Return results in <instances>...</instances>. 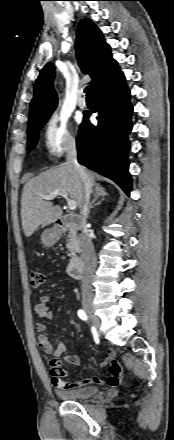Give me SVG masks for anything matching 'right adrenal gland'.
Segmentation results:
<instances>
[{
  "mask_svg": "<svg viewBox=\"0 0 174 440\" xmlns=\"http://www.w3.org/2000/svg\"><path fill=\"white\" fill-rule=\"evenodd\" d=\"M108 193L106 192L105 188L100 185V184H96L95 185V192H94V199L92 200L91 204H90V209H93L96 205H99L105 198V196H107ZM99 198H101V201H99L98 203H95Z\"/></svg>",
  "mask_w": 174,
  "mask_h": 440,
  "instance_id": "right-adrenal-gland-1",
  "label": "right adrenal gland"
}]
</instances>
